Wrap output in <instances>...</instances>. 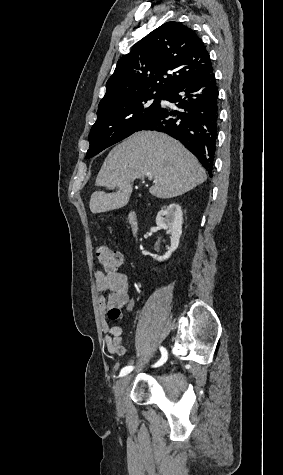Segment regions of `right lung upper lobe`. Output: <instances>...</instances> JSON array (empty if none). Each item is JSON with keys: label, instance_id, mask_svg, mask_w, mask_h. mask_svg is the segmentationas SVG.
Segmentation results:
<instances>
[{"label": "right lung upper lobe", "instance_id": "1", "mask_svg": "<svg viewBox=\"0 0 283 475\" xmlns=\"http://www.w3.org/2000/svg\"><path fill=\"white\" fill-rule=\"evenodd\" d=\"M212 70L210 56L195 32L181 23L167 22L118 60L98 107L146 93H167Z\"/></svg>", "mask_w": 283, "mask_h": 475}]
</instances>
